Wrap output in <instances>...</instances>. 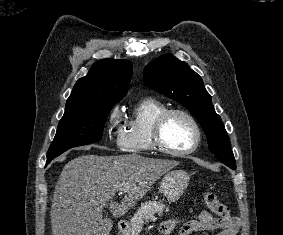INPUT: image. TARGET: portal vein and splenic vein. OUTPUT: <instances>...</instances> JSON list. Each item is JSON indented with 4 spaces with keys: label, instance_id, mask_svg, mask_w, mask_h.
I'll use <instances>...</instances> for the list:
<instances>
[{
    "label": "portal vein and splenic vein",
    "instance_id": "portal-vein-and-splenic-vein-1",
    "mask_svg": "<svg viewBox=\"0 0 283 235\" xmlns=\"http://www.w3.org/2000/svg\"><path fill=\"white\" fill-rule=\"evenodd\" d=\"M128 187L127 186H120L119 188V194H123L125 192H127Z\"/></svg>",
    "mask_w": 283,
    "mask_h": 235
}]
</instances>
